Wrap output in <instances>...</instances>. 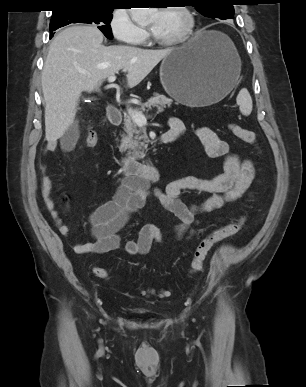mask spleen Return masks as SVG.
I'll use <instances>...</instances> for the list:
<instances>
[{
	"mask_svg": "<svg viewBox=\"0 0 306 387\" xmlns=\"http://www.w3.org/2000/svg\"><path fill=\"white\" fill-rule=\"evenodd\" d=\"M236 102L239 105L240 112L244 116H248L252 112V99L246 88L239 91Z\"/></svg>",
	"mask_w": 306,
	"mask_h": 387,
	"instance_id": "3e777b00",
	"label": "spleen"
}]
</instances>
